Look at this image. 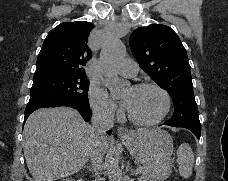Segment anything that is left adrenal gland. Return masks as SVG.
<instances>
[{
    "instance_id": "obj_1",
    "label": "left adrenal gland",
    "mask_w": 228,
    "mask_h": 181,
    "mask_svg": "<svg viewBox=\"0 0 228 181\" xmlns=\"http://www.w3.org/2000/svg\"><path fill=\"white\" fill-rule=\"evenodd\" d=\"M126 171H129V173H132V175H136L135 171L129 167V163H127Z\"/></svg>"
}]
</instances>
